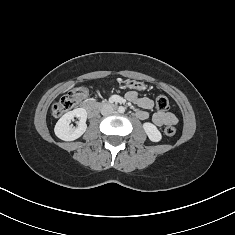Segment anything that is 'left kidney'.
I'll use <instances>...</instances> for the list:
<instances>
[{
    "label": "left kidney",
    "instance_id": "left-kidney-1",
    "mask_svg": "<svg viewBox=\"0 0 235 235\" xmlns=\"http://www.w3.org/2000/svg\"><path fill=\"white\" fill-rule=\"evenodd\" d=\"M143 129L152 142H159L162 139L160 131L154 124L150 122H145L143 124Z\"/></svg>",
    "mask_w": 235,
    "mask_h": 235
}]
</instances>
